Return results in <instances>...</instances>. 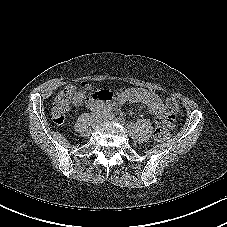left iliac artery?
Masks as SVG:
<instances>
[{"instance_id": "1", "label": "left iliac artery", "mask_w": 227, "mask_h": 227, "mask_svg": "<svg viewBox=\"0 0 227 227\" xmlns=\"http://www.w3.org/2000/svg\"><path fill=\"white\" fill-rule=\"evenodd\" d=\"M128 128H129V129L132 131V133H134V134L137 133V131H138L137 128L133 127L132 124H129V125H128Z\"/></svg>"}]
</instances>
